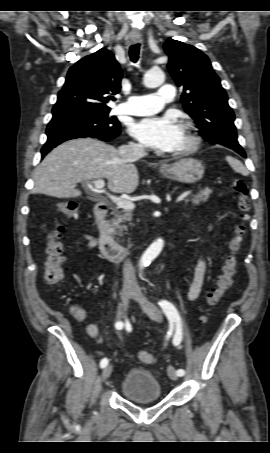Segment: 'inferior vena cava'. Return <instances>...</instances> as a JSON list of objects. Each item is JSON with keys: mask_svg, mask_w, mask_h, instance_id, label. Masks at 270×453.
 I'll use <instances>...</instances> for the list:
<instances>
[{"mask_svg": "<svg viewBox=\"0 0 270 453\" xmlns=\"http://www.w3.org/2000/svg\"><path fill=\"white\" fill-rule=\"evenodd\" d=\"M119 154L121 158L128 162H134L146 155V151L143 145L129 143L128 145H122L119 147ZM123 274L126 277L132 278L134 276V267L130 261L127 259L123 265Z\"/></svg>", "mask_w": 270, "mask_h": 453, "instance_id": "inferior-vena-cava-1", "label": "inferior vena cava"}]
</instances>
